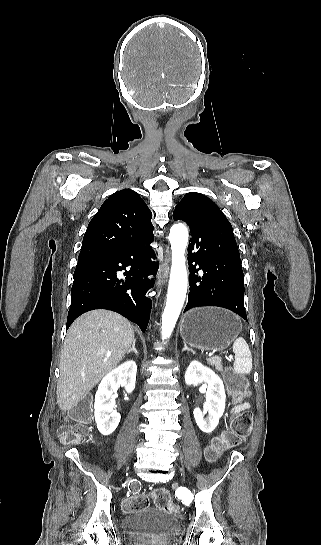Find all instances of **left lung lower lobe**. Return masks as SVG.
<instances>
[{
  "label": "left lung lower lobe",
  "instance_id": "obj_1",
  "mask_svg": "<svg viewBox=\"0 0 321 545\" xmlns=\"http://www.w3.org/2000/svg\"><path fill=\"white\" fill-rule=\"evenodd\" d=\"M188 223V304L184 310L201 306L229 309L247 320L244 308V274L232 226L223 213L198 217H174ZM199 266L198 269L195 266ZM198 270L203 276H198Z\"/></svg>",
  "mask_w": 321,
  "mask_h": 545
}]
</instances>
